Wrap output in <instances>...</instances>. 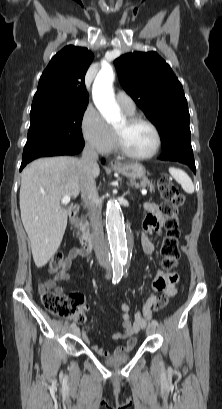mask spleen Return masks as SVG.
<instances>
[{"label":"spleen","instance_id":"3e777b00","mask_svg":"<svg viewBox=\"0 0 222 409\" xmlns=\"http://www.w3.org/2000/svg\"><path fill=\"white\" fill-rule=\"evenodd\" d=\"M169 173L181 185L186 193L192 194L194 192V185L192 183V180L183 170L170 167Z\"/></svg>","mask_w":222,"mask_h":409}]
</instances>
